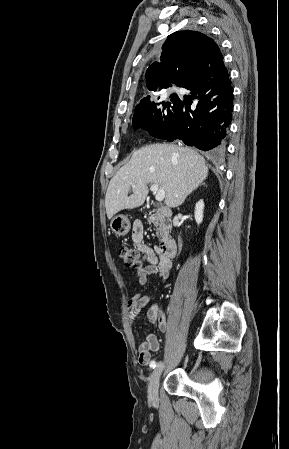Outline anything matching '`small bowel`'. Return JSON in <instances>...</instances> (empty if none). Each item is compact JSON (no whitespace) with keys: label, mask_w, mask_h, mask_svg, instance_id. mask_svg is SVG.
<instances>
[{"label":"small bowel","mask_w":289,"mask_h":449,"mask_svg":"<svg viewBox=\"0 0 289 449\" xmlns=\"http://www.w3.org/2000/svg\"><path fill=\"white\" fill-rule=\"evenodd\" d=\"M144 229L141 222L137 221L133 225L131 240L134 247L144 254L148 264L137 268L138 283L141 286L146 285L150 276H157L165 280L168 278L172 262L170 258L163 257L157 250L146 244L143 240ZM150 300L149 295L136 294L128 301L129 319L132 324H136L139 320L141 308ZM148 318L152 322H157L162 332L167 330V322L165 316L158 304H152L148 309ZM159 341L153 332H147L144 340L138 346L139 363L148 365L151 363V352L159 350Z\"/></svg>","instance_id":"c3829d8e"}]
</instances>
